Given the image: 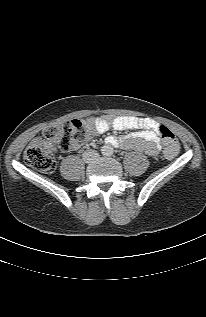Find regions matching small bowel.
<instances>
[{"label": "small bowel", "mask_w": 206, "mask_h": 317, "mask_svg": "<svg viewBox=\"0 0 206 317\" xmlns=\"http://www.w3.org/2000/svg\"><path fill=\"white\" fill-rule=\"evenodd\" d=\"M85 125L96 133H104L113 130H134L126 136H108L106 142L113 146L146 152L149 155H157L160 151V125L151 118L134 116L98 117L85 121ZM80 144L74 146L77 150Z\"/></svg>", "instance_id": "small-bowel-1"}]
</instances>
